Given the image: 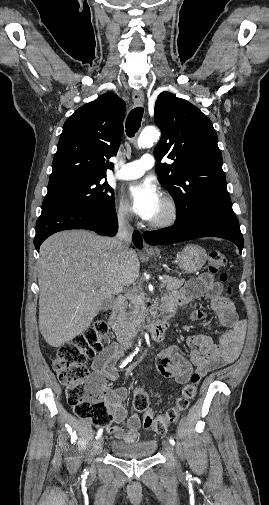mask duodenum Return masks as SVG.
<instances>
[{
    "label": "duodenum",
    "instance_id": "obj_1",
    "mask_svg": "<svg viewBox=\"0 0 269 505\" xmlns=\"http://www.w3.org/2000/svg\"><path fill=\"white\" fill-rule=\"evenodd\" d=\"M124 308L125 300L123 298L116 299L111 308L108 323L116 340L121 344L128 345L134 341L138 333V328L125 320L123 315ZM172 311L173 308L171 305L164 301L162 314L154 318L147 325L146 330L154 341L159 342L165 338Z\"/></svg>",
    "mask_w": 269,
    "mask_h": 505
}]
</instances>
